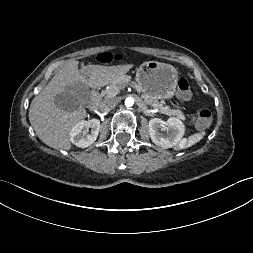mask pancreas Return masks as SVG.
I'll return each instance as SVG.
<instances>
[{"label":"pancreas","instance_id":"obj_1","mask_svg":"<svg viewBox=\"0 0 253 253\" xmlns=\"http://www.w3.org/2000/svg\"><path fill=\"white\" fill-rule=\"evenodd\" d=\"M130 76H123L121 79H119L117 82L112 83L108 89H106L103 94L106 98H110L113 96H116L118 93H120L121 90H123L128 82L131 80ZM135 87L138 88L137 84L135 82H131ZM145 103L147 105H150L153 108L159 109V112L162 114H166L168 116H174L178 119L185 120L184 113L179 109H171L168 105H164V102H159L157 100L151 99L145 95L142 96Z\"/></svg>","mask_w":253,"mask_h":253}]
</instances>
